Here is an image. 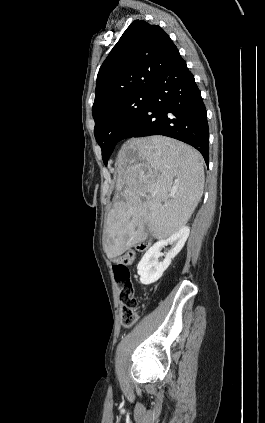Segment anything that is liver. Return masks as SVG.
<instances>
[{
    "mask_svg": "<svg viewBox=\"0 0 265 423\" xmlns=\"http://www.w3.org/2000/svg\"><path fill=\"white\" fill-rule=\"evenodd\" d=\"M117 194L106 221L109 259L143 242L165 239L186 225L204 189V159L193 147L165 136L132 138L116 159Z\"/></svg>",
    "mask_w": 265,
    "mask_h": 423,
    "instance_id": "liver-1",
    "label": "liver"
}]
</instances>
